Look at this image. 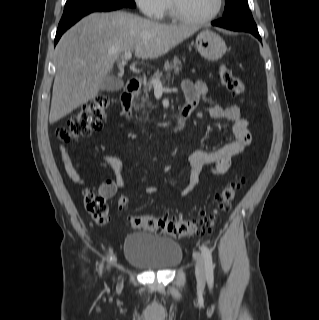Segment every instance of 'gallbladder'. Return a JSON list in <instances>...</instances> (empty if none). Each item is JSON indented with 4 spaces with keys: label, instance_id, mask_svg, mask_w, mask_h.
I'll list each match as a JSON object with an SVG mask.
<instances>
[{
    "label": "gallbladder",
    "instance_id": "bac80fb5",
    "mask_svg": "<svg viewBox=\"0 0 319 320\" xmlns=\"http://www.w3.org/2000/svg\"><path fill=\"white\" fill-rule=\"evenodd\" d=\"M123 86L124 82L121 78L113 75H107L100 89L103 91L113 92L120 90Z\"/></svg>",
    "mask_w": 319,
    "mask_h": 320
}]
</instances>
